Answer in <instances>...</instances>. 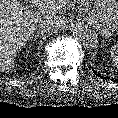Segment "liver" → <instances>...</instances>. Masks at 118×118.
I'll use <instances>...</instances> for the list:
<instances>
[{
  "mask_svg": "<svg viewBox=\"0 0 118 118\" xmlns=\"http://www.w3.org/2000/svg\"><path fill=\"white\" fill-rule=\"evenodd\" d=\"M38 6L41 2L43 12L25 14L22 5L17 0H0V70L9 72L14 67L15 57L29 40L30 35L37 29L40 18L50 17L58 24L65 23L62 14L70 0H28ZM81 1V6L88 4Z\"/></svg>",
  "mask_w": 118,
  "mask_h": 118,
  "instance_id": "1",
  "label": "liver"
}]
</instances>
